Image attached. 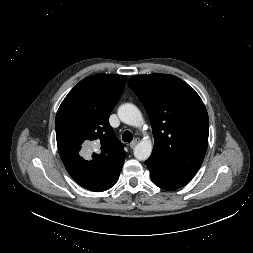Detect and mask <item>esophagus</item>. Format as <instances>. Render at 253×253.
<instances>
[{
	"label": "esophagus",
	"mask_w": 253,
	"mask_h": 253,
	"mask_svg": "<svg viewBox=\"0 0 253 253\" xmlns=\"http://www.w3.org/2000/svg\"><path fill=\"white\" fill-rule=\"evenodd\" d=\"M139 142V139H134L131 143H130V148H134L136 145H137V143Z\"/></svg>",
	"instance_id": "esophagus-1"
}]
</instances>
